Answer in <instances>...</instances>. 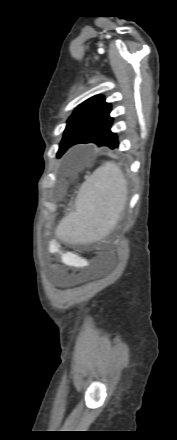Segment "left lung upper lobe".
I'll return each mask as SVG.
<instances>
[{"label":"left lung upper lobe","instance_id":"left-lung-upper-lobe-1","mask_svg":"<svg viewBox=\"0 0 177 440\" xmlns=\"http://www.w3.org/2000/svg\"><path fill=\"white\" fill-rule=\"evenodd\" d=\"M110 111L111 104L106 103L100 95L91 97L80 104L67 121L57 157L62 156L68 148L111 121Z\"/></svg>","mask_w":177,"mask_h":440}]
</instances>
